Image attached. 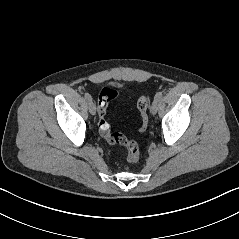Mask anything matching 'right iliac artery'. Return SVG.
<instances>
[{
  "instance_id": "82829eb1",
  "label": "right iliac artery",
  "mask_w": 239,
  "mask_h": 239,
  "mask_svg": "<svg viewBox=\"0 0 239 239\" xmlns=\"http://www.w3.org/2000/svg\"><path fill=\"white\" fill-rule=\"evenodd\" d=\"M84 97L87 101H92V97L89 93H85Z\"/></svg>"
}]
</instances>
